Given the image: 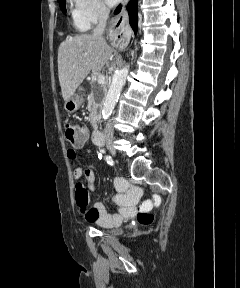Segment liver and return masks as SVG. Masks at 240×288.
Returning <instances> with one entry per match:
<instances>
[{"instance_id":"liver-1","label":"liver","mask_w":240,"mask_h":288,"mask_svg":"<svg viewBox=\"0 0 240 288\" xmlns=\"http://www.w3.org/2000/svg\"><path fill=\"white\" fill-rule=\"evenodd\" d=\"M113 57L105 40L83 34L67 37L58 49V76L62 97H72L90 71L98 72Z\"/></svg>"}]
</instances>
